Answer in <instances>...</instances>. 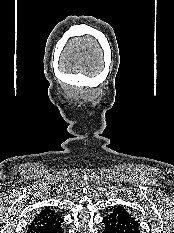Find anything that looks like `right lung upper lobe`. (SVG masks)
<instances>
[{
	"label": "right lung upper lobe",
	"mask_w": 174,
	"mask_h": 233,
	"mask_svg": "<svg viewBox=\"0 0 174 233\" xmlns=\"http://www.w3.org/2000/svg\"><path fill=\"white\" fill-rule=\"evenodd\" d=\"M62 222L63 219L55 211H52L49 207H45L33 218L28 226L27 233H39L40 231L55 227Z\"/></svg>",
	"instance_id": "cb5924a9"
}]
</instances>
